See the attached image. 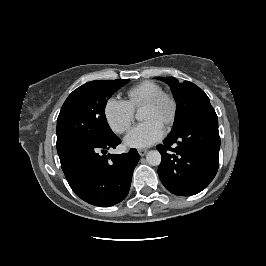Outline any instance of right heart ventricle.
I'll return each instance as SVG.
<instances>
[{"mask_svg":"<svg viewBox=\"0 0 266 266\" xmlns=\"http://www.w3.org/2000/svg\"><path fill=\"white\" fill-rule=\"evenodd\" d=\"M162 92H164V89L159 84L152 81H144L128 90V103L134 109H137Z\"/></svg>","mask_w":266,"mask_h":266,"instance_id":"right-heart-ventricle-1","label":"right heart ventricle"}]
</instances>
